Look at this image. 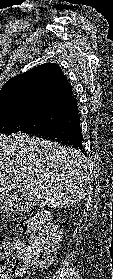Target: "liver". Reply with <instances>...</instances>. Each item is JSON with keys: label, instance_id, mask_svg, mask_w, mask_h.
<instances>
[{"label": "liver", "instance_id": "obj_1", "mask_svg": "<svg viewBox=\"0 0 113 279\" xmlns=\"http://www.w3.org/2000/svg\"><path fill=\"white\" fill-rule=\"evenodd\" d=\"M92 181L80 150L21 132L0 134V199L10 208L68 207L86 197Z\"/></svg>", "mask_w": 113, "mask_h": 279}]
</instances>
